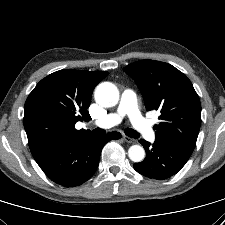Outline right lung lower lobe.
<instances>
[{"label":"right lung lower lobe","instance_id":"98d812e1","mask_svg":"<svg viewBox=\"0 0 225 225\" xmlns=\"http://www.w3.org/2000/svg\"><path fill=\"white\" fill-rule=\"evenodd\" d=\"M120 137L118 132L65 137L47 145L33 157L55 183L64 187L79 186L95 173L103 146Z\"/></svg>","mask_w":225,"mask_h":225}]
</instances>
